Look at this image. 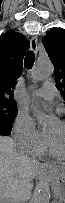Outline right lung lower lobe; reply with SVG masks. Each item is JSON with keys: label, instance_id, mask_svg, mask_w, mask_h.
I'll return each instance as SVG.
<instances>
[{"label": "right lung lower lobe", "instance_id": "obj_1", "mask_svg": "<svg viewBox=\"0 0 65 203\" xmlns=\"http://www.w3.org/2000/svg\"><path fill=\"white\" fill-rule=\"evenodd\" d=\"M0 134H3V135H9L7 133H5L4 131L0 130Z\"/></svg>", "mask_w": 65, "mask_h": 203}]
</instances>
